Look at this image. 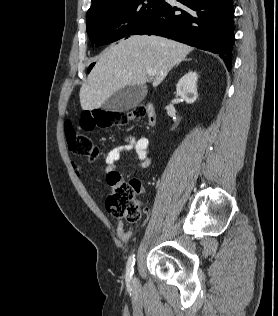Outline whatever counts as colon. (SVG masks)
<instances>
[{"label":"colon","mask_w":278,"mask_h":316,"mask_svg":"<svg viewBox=\"0 0 278 316\" xmlns=\"http://www.w3.org/2000/svg\"><path fill=\"white\" fill-rule=\"evenodd\" d=\"M143 108H137L130 112H103L90 111L82 114L79 124L85 131L94 128H109L123 126L131 120L140 118L144 115ZM65 136L69 150L76 155L86 156L91 160L100 157L101 152L93 141L86 135L78 133L70 120L65 121ZM107 182L111 187V193L106 200L108 211L115 217L124 218L129 223H136L146 210L141 208L137 199L140 190V182L132 179L128 182L123 181L116 172L109 173Z\"/></svg>","instance_id":"1"}]
</instances>
